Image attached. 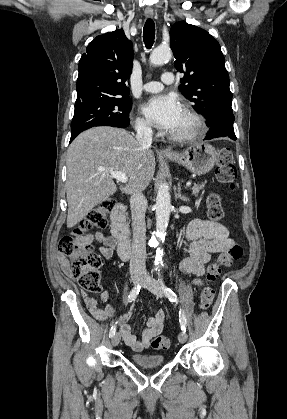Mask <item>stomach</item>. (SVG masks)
<instances>
[{
    "label": "stomach",
    "mask_w": 287,
    "mask_h": 419,
    "mask_svg": "<svg viewBox=\"0 0 287 419\" xmlns=\"http://www.w3.org/2000/svg\"><path fill=\"white\" fill-rule=\"evenodd\" d=\"M216 156L217 152L213 146L207 143H197L176 156H169L168 158L194 174L203 175L212 170L216 162Z\"/></svg>",
    "instance_id": "1"
}]
</instances>
